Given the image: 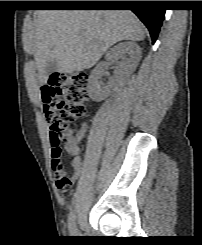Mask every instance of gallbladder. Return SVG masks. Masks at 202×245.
Returning a JSON list of instances; mask_svg holds the SVG:
<instances>
[{
  "label": "gallbladder",
  "mask_w": 202,
  "mask_h": 245,
  "mask_svg": "<svg viewBox=\"0 0 202 245\" xmlns=\"http://www.w3.org/2000/svg\"><path fill=\"white\" fill-rule=\"evenodd\" d=\"M56 68H57V62H56L55 59H52V60H50V61L47 63V65H46V67H45V69H44V72H45V74H50V73H52Z\"/></svg>",
  "instance_id": "1"
}]
</instances>
